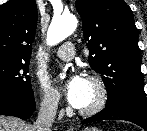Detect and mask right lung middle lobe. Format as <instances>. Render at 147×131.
<instances>
[{"mask_svg": "<svg viewBox=\"0 0 147 131\" xmlns=\"http://www.w3.org/2000/svg\"><path fill=\"white\" fill-rule=\"evenodd\" d=\"M29 61L0 58V93L22 97L33 95L30 77L27 75Z\"/></svg>", "mask_w": 147, "mask_h": 131, "instance_id": "right-lung-middle-lobe-1", "label": "right lung middle lobe"}]
</instances>
